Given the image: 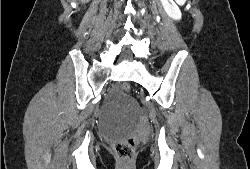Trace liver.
<instances>
[{
    "mask_svg": "<svg viewBox=\"0 0 250 169\" xmlns=\"http://www.w3.org/2000/svg\"><path fill=\"white\" fill-rule=\"evenodd\" d=\"M81 2H89V0H81Z\"/></svg>",
    "mask_w": 250,
    "mask_h": 169,
    "instance_id": "1",
    "label": "liver"
}]
</instances>
